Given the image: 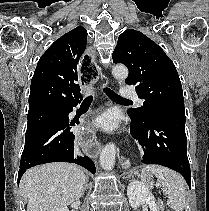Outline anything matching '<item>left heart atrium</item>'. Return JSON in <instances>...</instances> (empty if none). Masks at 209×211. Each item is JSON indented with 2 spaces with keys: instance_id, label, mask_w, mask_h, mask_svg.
<instances>
[{
  "instance_id": "39dd6f15",
  "label": "left heart atrium",
  "mask_w": 209,
  "mask_h": 211,
  "mask_svg": "<svg viewBox=\"0 0 209 211\" xmlns=\"http://www.w3.org/2000/svg\"><path fill=\"white\" fill-rule=\"evenodd\" d=\"M95 124L104 131L113 132L120 126L119 114L115 110H107L97 117Z\"/></svg>"
}]
</instances>
